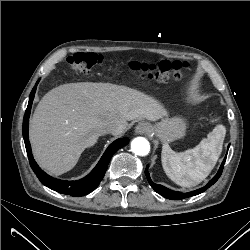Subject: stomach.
Returning a JSON list of instances; mask_svg holds the SVG:
<instances>
[{
  "instance_id": "stomach-1",
  "label": "stomach",
  "mask_w": 250,
  "mask_h": 250,
  "mask_svg": "<svg viewBox=\"0 0 250 250\" xmlns=\"http://www.w3.org/2000/svg\"><path fill=\"white\" fill-rule=\"evenodd\" d=\"M150 127L151 132L165 144L184 137L187 128L186 122L180 117L164 118Z\"/></svg>"
}]
</instances>
